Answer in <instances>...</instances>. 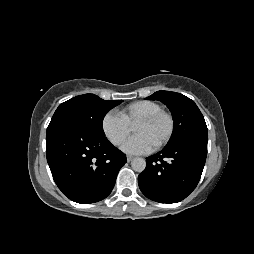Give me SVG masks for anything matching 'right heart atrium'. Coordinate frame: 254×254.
Here are the masks:
<instances>
[{"label":"right heart atrium","mask_w":254,"mask_h":254,"mask_svg":"<svg viewBox=\"0 0 254 254\" xmlns=\"http://www.w3.org/2000/svg\"><path fill=\"white\" fill-rule=\"evenodd\" d=\"M101 130L112 145L119 147L130 134L131 127L118 112L111 110L103 116Z\"/></svg>","instance_id":"1"}]
</instances>
